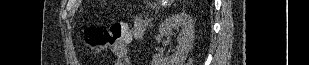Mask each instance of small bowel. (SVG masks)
I'll return each instance as SVG.
<instances>
[{"label":"small bowel","mask_w":309,"mask_h":65,"mask_svg":"<svg viewBox=\"0 0 309 65\" xmlns=\"http://www.w3.org/2000/svg\"><path fill=\"white\" fill-rule=\"evenodd\" d=\"M145 22L141 18H136L133 27L127 31L120 41L113 46L115 65H132L129 56V45L136 39L143 36L145 32Z\"/></svg>","instance_id":"small-bowel-1"}]
</instances>
